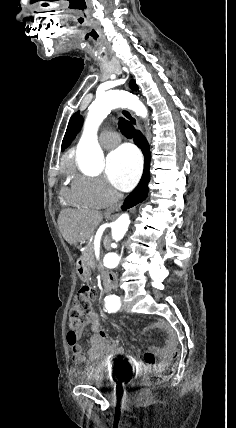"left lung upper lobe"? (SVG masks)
Masks as SVG:
<instances>
[{
  "label": "left lung upper lobe",
  "instance_id": "obj_1",
  "mask_svg": "<svg viewBox=\"0 0 236 428\" xmlns=\"http://www.w3.org/2000/svg\"><path fill=\"white\" fill-rule=\"evenodd\" d=\"M130 87L133 90H137V85L135 84L134 80H132L130 82ZM83 123V118L80 115L79 112H76L75 114L72 115V117L70 118V121L68 123V127L65 133V136L63 138L62 141V146H61V150L64 151L70 144L71 142L74 140V138L76 137L77 133L79 132L81 126Z\"/></svg>",
  "mask_w": 236,
  "mask_h": 428
}]
</instances>
